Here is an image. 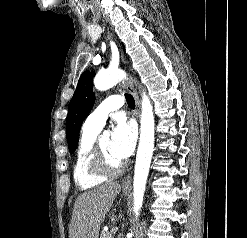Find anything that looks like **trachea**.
Listing matches in <instances>:
<instances>
[{
	"instance_id": "obj_1",
	"label": "trachea",
	"mask_w": 247,
	"mask_h": 238,
	"mask_svg": "<svg viewBox=\"0 0 247 238\" xmlns=\"http://www.w3.org/2000/svg\"><path fill=\"white\" fill-rule=\"evenodd\" d=\"M125 98H126V101H127L128 106L130 108H134V106H135V100H134L133 96L130 95V94H126L125 95Z\"/></svg>"
}]
</instances>
